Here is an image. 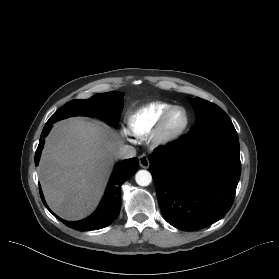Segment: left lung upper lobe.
<instances>
[{
  "label": "left lung upper lobe",
  "mask_w": 279,
  "mask_h": 279,
  "mask_svg": "<svg viewBox=\"0 0 279 279\" xmlns=\"http://www.w3.org/2000/svg\"><path fill=\"white\" fill-rule=\"evenodd\" d=\"M190 102L196 114L193 131L215 126H233L228 115L216 104L199 97L190 99Z\"/></svg>",
  "instance_id": "5c2ea615"
}]
</instances>
